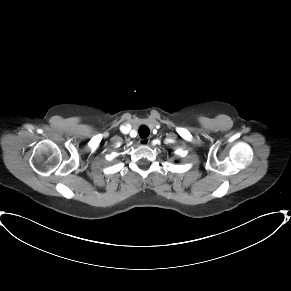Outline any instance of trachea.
<instances>
[{
	"instance_id": "1",
	"label": "trachea",
	"mask_w": 291,
	"mask_h": 291,
	"mask_svg": "<svg viewBox=\"0 0 291 291\" xmlns=\"http://www.w3.org/2000/svg\"><path fill=\"white\" fill-rule=\"evenodd\" d=\"M149 134H150V130L147 126H145V125L140 126L139 135L142 139L147 138L149 136Z\"/></svg>"
}]
</instances>
